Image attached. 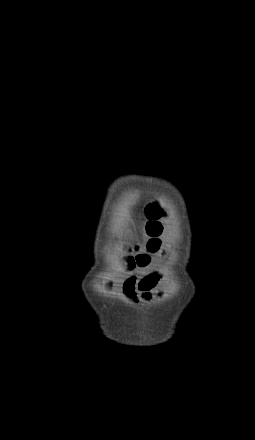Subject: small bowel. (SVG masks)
I'll use <instances>...</instances> for the list:
<instances>
[{
    "label": "small bowel",
    "mask_w": 255,
    "mask_h": 440,
    "mask_svg": "<svg viewBox=\"0 0 255 440\" xmlns=\"http://www.w3.org/2000/svg\"><path fill=\"white\" fill-rule=\"evenodd\" d=\"M160 281V274L151 272L140 278H127L122 287L123 294L130 300L139 298L148 300L151 298L152 291L157 288Z\"/></svg>",
    "instance_id": "obj_1"
}]
</instances>
